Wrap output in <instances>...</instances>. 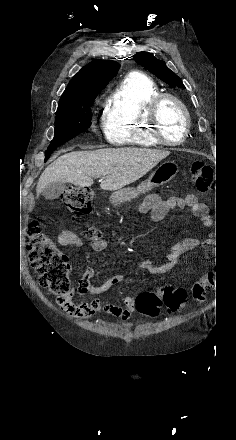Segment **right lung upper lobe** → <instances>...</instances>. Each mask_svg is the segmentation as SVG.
I'll list each match as a JSON object with an SVG mask.
<instances>
[{
	"instance_id": "1",
	"label": "right lung upper lobe",
	"mask_w": 236,
	"mask_h": 440,
	"mask_svg": "<svg viewBox=\"0 0 236 440\" xmlns=\"http://www.w3.org/2000/svg\"><path fill=\"white\" fill-rule=\"evenodd\" d=\"M120 65L110 60H95L84 66L69 82L59 103L96 94L105 88Z\"/></svg>"
}]
</instances>
